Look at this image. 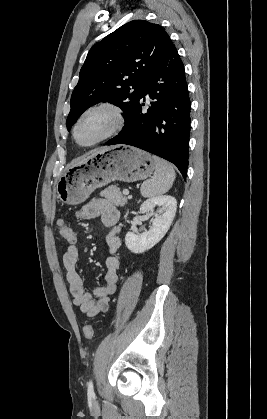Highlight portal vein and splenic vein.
<instances>
[{
	"label": "portal vein and splenic vein",
	"mask_w": 267,
	"mask_h": 419,
	"mask_svg": "<svg viewBox=\"0 0 267 419\" xmlns=\"http://www.w3.org/2000/svg\"><path fill=\"white\" fill-rule=\"evenodd\" d=\"M123 194H124V195H129V191H128L127 189H124V190H123Z\"/></svg>",
	"instance_id": "obj_1"
}]
</instances>
